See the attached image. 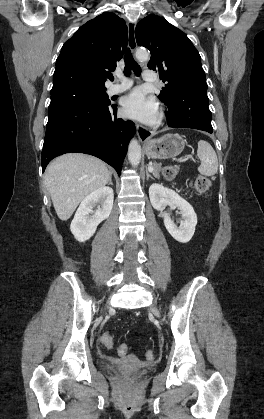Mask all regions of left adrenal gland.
<instances>
[{"mask_svg": "<svg viewBox=\"0 0 264 419\" xmlns=\"http://www.w3.org/2000/svg\"><path fill=\"white\" fill-rule=\"evenodd\" d=\"M151 165H152V164H151V163H149V166H151ZM146 175H147V180H148L149 178L154 179V178L150 175L149 171H146Z\"/></svg>", "mask_w": 264, "mask_h": 419, "instance_id": "a2214340", "label": "left adrenal gland"}]
</instances>
